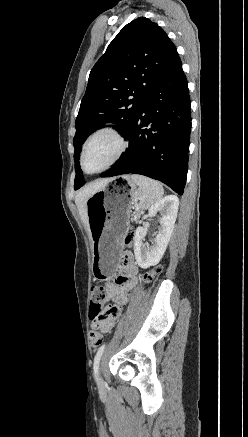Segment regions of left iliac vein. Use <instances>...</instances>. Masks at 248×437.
Segmentation results:
<instances>
[{"label": "left iliac vein", "instance_id": "1", "mask_svg": "<svg viewBox=\"0 0 248 437\" xmlns=\"http://www.w3.org/2000/svg\"><path fill=\"white\" fill-rule=\"evenodd\" d=\"M98 383L101 384L102 383V378L101 376L98 375Z\"/></svg>", "mask_w": 248, "mask_h": 437}]
</instances>
